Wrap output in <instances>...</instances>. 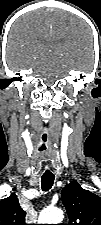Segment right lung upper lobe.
I'll list each match as a JSON object with an SVG mask.
<instances>
[{
    "label": "right lung upper lobe",
    "mask_w": 101,
    "mask_h": 225,
    "mask_svg": "<svg viewBox=\"0 0 101 225\" xmlns=\"http://www.w3.org/2000/svg\"><path fill=\"white\" fill-rule=\"evenodd\" d=\"M25 215L14 193L0 201V225H26Z\"/></svg>",
    "instance_id": "obj_1"
}]
</instances>
